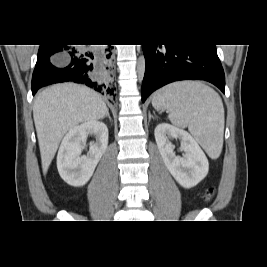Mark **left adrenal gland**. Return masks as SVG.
<instances>
[{"label": "left adrenal gland", "mask_w": 267, "mask_h": 267, "mask_svg": "<svg viewBox=\"0 0 267 267\" xmlns=\"http://www.w3.org/2000/svg\"><path fill=\"white\" fill-rule=\"evenodd\" d=\"M151 118H154V117L149 113V121L151 120Z\"/></svg>", "instance_id": "obj_1"}]
</instances>
